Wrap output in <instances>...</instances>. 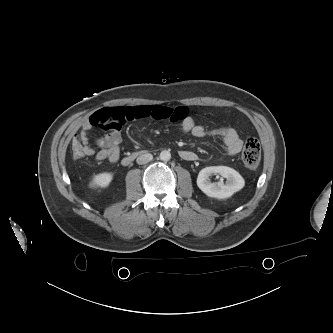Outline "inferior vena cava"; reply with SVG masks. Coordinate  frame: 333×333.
<instances>
[{"label": "inferior vena cava", "mask_w": 333, "mask_h": 333, "mask_svg": "<svg viewBox=\"0 0 333 333\" xmlns=\"http://www.w3.org/2000/svg\"><path fill=\"white\" fill-rule=\"evenodd\" d=\"M153 159V155L150 154V153H145V154H142L140 155L136 162L139 164V165H142V164H146L148 162H150L151 160Z\"/></svg>", "instance_id": "inferior-vena-cava-1"}]
</instances>
